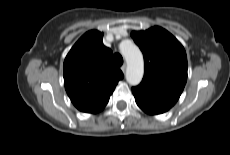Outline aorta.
Listing matches in <instances>:
<instances>
[{
    "label": "aorta",
    "mask_w": 230,
    "mask_h": 155,
    "mask_svg": "<svg viewBox=\"0 0 230 155\" xmlns=\"http://www.w3.org/2000/svg\"><path fill=\"white\" fill-rule=\"evenodd\" d=\"M120 50L127 63V82L132 86L138 85L144 73V62L141 51L131 41H123L120 44Z\"/></svg>",
    "instance_id": "762f6f07"
}]
</instances>
